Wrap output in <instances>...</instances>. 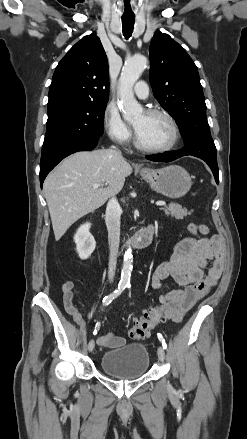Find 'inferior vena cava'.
I'll use <instances>...</instances> for the list:
<instances>
[{"label": "inferior vena cava", "mask_w": 247, "mask_h": 439, "mask_svg": "<svg viewBox=\"0 0 247 439\" xmlns=\"http://www.w3.org/2000/svg\"><path fill=\"white\" fill-rule=\"evenodd\" d=\"M121 155L120 152H117ZM122 214V209L115 197H112L106 207V215L105 221L108 230V236L110 240V257H109V268H108V277L110 282L113 281L116 263H117V254L120 244V218Z\"/></svg>", "instance_id": "obj_1"}]
</instances>
